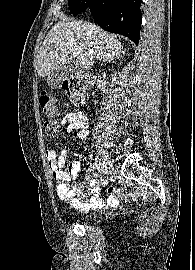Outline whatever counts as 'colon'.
<instances>
[{"mask_svg": "<svg viewBox=\"0 0 195 270\" xmlns=\"http://www.w3.org/2000/svg\"><path fill=\"white\" fill-rule=\"evenodd\" d=\"M62 88L66 96L74 103L81 104L84 100V95L86 91V84L80 78H74L66 80ZM40 105L44 113L49 117L45 122V131L48 136H55L60 128L59 122L55 119L57 113V102L55 97L48 93H42L40 96ZM68 176H62L57 178L58 188L61 191H66L69 187L66 184V181H69Z\"/></svg>", "mask_w": 195, "mask_h": 270, "instance_id": "colon-1", "label": "colon"}]
</instances>
